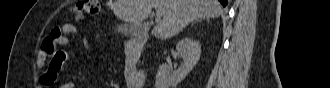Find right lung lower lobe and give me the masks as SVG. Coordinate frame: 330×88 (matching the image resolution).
<instances>
[{
    "mask_svg": "<svg viewBox=\"0 0 330 88\" xmlns=\"http://www.w3.org/2000/svg\"><path fill=\"white\" fill-rule=\"evenodd\" d=\"M219 2L225 7L227 5V0H219Z\"/></svg>",
    "mask_w": 330,
    "mask_h": 88,
    "instance_id": "right-lung-lower-lobe-1",
    "label": "right lung lower lobe"
}]
</instances>
